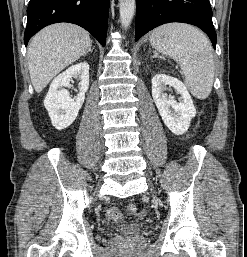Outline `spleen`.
<instances>
[{
    "label": "spleen",
    "instance_id": "3e777b00",
    "mask_svg": "<svg viewBox=\"0 0 247 257\" xmlns=\"http://www.w3.org/2000/svg\"><path fill=\"white\" fill-rule=\"evenodd\" d=\"M150 43L180 64L185 83L195 97H208L214 81V59L211 43L199 29L183 23L165 24L153 30Z\"/></svg>",
    "mask_w": 247,
    "mask_h": 257
}]
</instances>
